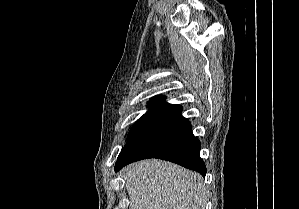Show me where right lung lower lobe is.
<instances>
[{
    "label": "right lung lower lobe",
    "mask_w": 299,
    "mask_h": 209,
    "mask_svg": "<svg viewBox=\"0 0 299 209\" xmlns=\"http://www.w3.org/2000/svg\"><path fill=\"white\" fill-rule=\"evenodd\" d=\"M181 112L180 105H159L126 143L116 161L115 171L138 160L160 158L205 176L206 166L200 158L201 143L193 135L191 123Z\"/></svg>",
    "instance_id": "right-lung-lower-lobe-1"
}]
</instances>
